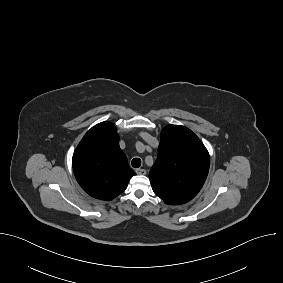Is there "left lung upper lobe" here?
<instances>
[{
	"label": "left lung upper lobe",
	"mask_w": 283,
	"mask_h": 283,
	"mask_svg": "<svg viewBox=\"0 0 283 283\" xmlns=\"http://www.w3.org/2000/svg\"><path fill=\"white\" fill-rule=\"evenodd\" d=\"M160 138L158 157L149 173L152 189L166 204H184L198 194L206 180L209 153L184 126L167 125Z\"/></svg>",
	"instance_id": "left-lung-upper-lobe-1"
}]
</instances>
